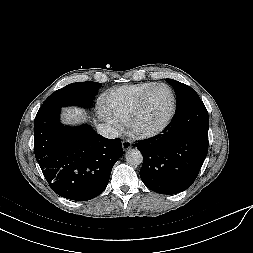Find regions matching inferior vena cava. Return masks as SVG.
<instances>
[{"label": "inferior vena cava", "instance_id": "602c4592", "mask_svg": "<svg viewBox=\"0 0 253 253\" xmlns=\"http://www.w3.org/2000/svg\"><path fill=\"white\" fill-rule=\"evenodd\" d=\"M96 128H97L98 134H100L101 136L105 138L114 139L119 136L118 130L109 124H98Z\"/></svg>", "mask_w": 253, "mask_h": 253}]
</instances>
